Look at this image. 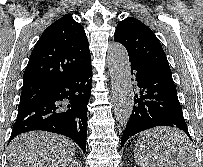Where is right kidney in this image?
Returning a JSON list of instances; mask_svg holds the SVG:
<instances>
[{
  "instance_id": "1",
  "label": "right kidney",
  "mask_w": 203,
  "mask_h": 167,
  "mask_svg": "<svg viewBox=\"0 0 203 167\" xmlns=\"http://www.w3.org/2000/svg\"><path fill=\"white\" fill-rule=\"evenodd\" d=\"M69 167H82L80 162H73Z\"/></svg>"
}]
</instances>
